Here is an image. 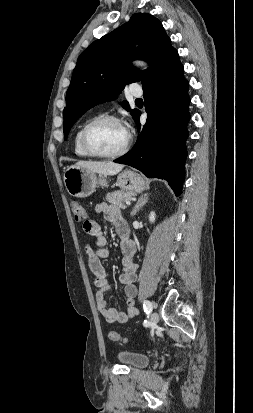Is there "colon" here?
Returning a JSON list of instances; mask_svg holds the SVG:
<instances>
[{
    "mask_svg": "<svg viewBox=\"0 0 253 413\" xmlns=\"http://www.w3.org/2000/svg\"><path fill=\"white\" fill-rule=\"evenodd\" d=\"M70 208L73 216L77 221H80L84 218L85 211L83 206L79 202L72 200L70 203ZM108 337L111 341L127 343V339L123 338L120 334H118L115 331L109 332Z\"/></svg>",
    "mask_w": 253,
    "mask_h": 413,
    "instance_id": "5ec220e1",
    "label": "colon"
}]
</instances>
